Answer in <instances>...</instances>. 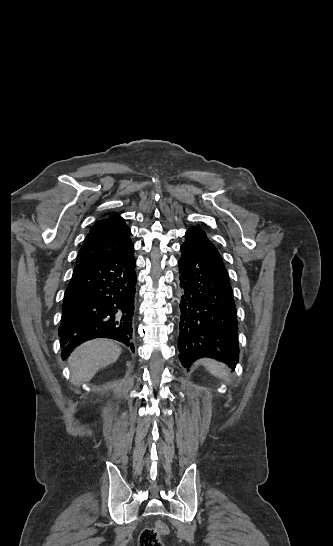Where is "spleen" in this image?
<instances>
[{"label":"spleen","mask_w":333,"mask_h":546,"mask_svg":"<svg viewBox=\"0 0 333 546\" xmlns=\"http://www.w3.org/2000/svg\"><path fill=\"white\" fill-rule=\"evenodd\" d=\"M209 372L219 378H226L227 373L223 364L206 359L203 361Z\"/></svg>","instance_id":"obj_1"}]
</instances>
